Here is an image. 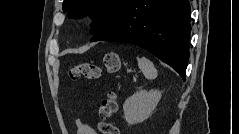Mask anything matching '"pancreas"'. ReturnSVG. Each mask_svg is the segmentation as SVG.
<instances>
[{"mask_svg": "<svg viewBox=\"0 0 239 134\" xmlns=\"http://www.w3.org/2000/svg\"><path fill=\"white\" fill-rule=\"evenodd\" d=\"M133 80L136 82V76L133 78Z\"/></svg>", "mask_w": 239, "mask_h": 134, "instance_id": "pancreas-1", "label": "pancreas"}]
</instances>
